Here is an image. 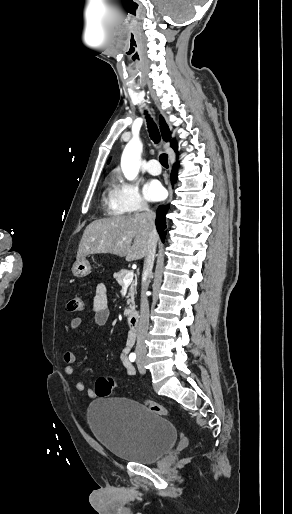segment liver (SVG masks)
<instances>
[{"instance_id":"6515ba94","label":"liver","mask_w":292,"mask_h":514,"mask_svg":"<svg viewBox=\"0 0 292 514\" xmlns=\"http://www.w3.org/2000/svg\"><path fill=\"white\" fill-rule=\"evenodd\" d=\"M135 238L132 244V240ZM147 212L95 220L87 226L77 252V260L89 254L126 256V262L141 260L147 252Z\"/></svg>"}]
</instances>
